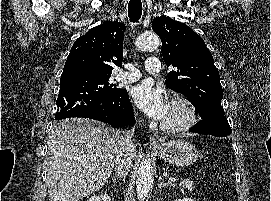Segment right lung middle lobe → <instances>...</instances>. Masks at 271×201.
<instances>
[{
	"label": "right lung middle lobe",
	"mask_w": 271,
	"mask_h": 201,
	"mask_svg": "<svg viewBox=\"0 0 271 201\" xmlns=\"http://www.w3.org/2000/svg\"><path fill=\"white\" fill-rule=\"evenodd\" d=\"M111 75L90 72L82 69L63 71L60 79V91L64 92H93L102 94H115L121 89L116 88L115 84L109 82Z\"/></svg>",
	"instance_id": "dd1d6c3e"
}]
</instances>
